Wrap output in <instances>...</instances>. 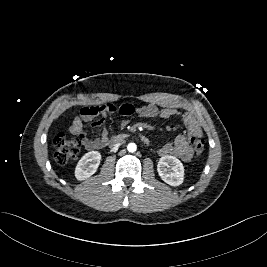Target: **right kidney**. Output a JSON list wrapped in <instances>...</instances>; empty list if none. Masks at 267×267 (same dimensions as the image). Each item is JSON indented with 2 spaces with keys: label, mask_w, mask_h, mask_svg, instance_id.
<instances>
[{
  "label": "right kidney",
  "mask_w": 267,
  "mask_h": 267,
  "mask_svg": "<svg viewBox=\"0 0 267 267\" xmlns=\"http://www.w3.org/2000/svg\"><path fill=\"white\" fill-rule=\"evenodd\" d=\"M101 161V154L98 151L86 153L77 163L75 177L77 180H85L92 176L98 169Z\"/></svg>",
  "instance_id": "ca27d5eb"
}]
</instances>
